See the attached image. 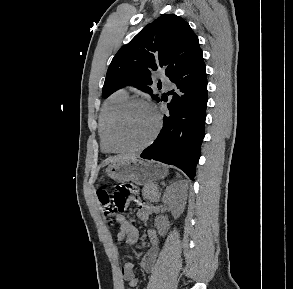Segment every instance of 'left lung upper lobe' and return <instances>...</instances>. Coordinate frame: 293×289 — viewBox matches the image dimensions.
Returning a JSON list of instances; mask_svg holds the SVG:
<instances>
[{"label":"left lung upper lobe","instance_id":"left-lung-upper-lobe-1","mask_svg":"<svg viewBox=\"0 0 293 289\" xmlns=\"http://www.w3.org/2000/svg\"><path fill=\"white\" fill-rule=\"evenodd\" d=\"M200 52L198 37L184 19L161 15L117 52L107 71L103 97L126 85L152 94V71L162 68L170 78ZM152 97L159 101V97Z\"/></svg>","mask_w":293,"mask_h":289}]
</instances>
